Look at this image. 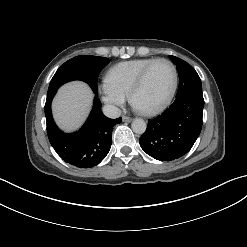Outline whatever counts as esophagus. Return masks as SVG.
<instances>
[{
    "mask_svg": "<svg viewBox=\"0 0 247 247\" xmlns=\"http://www.w3.org/2000/svg\"><path fill=\"white\" fill-rule=\"evenodd\" d=\"M122 120H123L124 122H131V121H132V118L127 117V116H123V117H122Z\"/></svg>",
    "mask_w": 247,
    "mask_h": 247,
    "instance_id": "obj_1",
    "label": "esophagus"
}]
</instances>
